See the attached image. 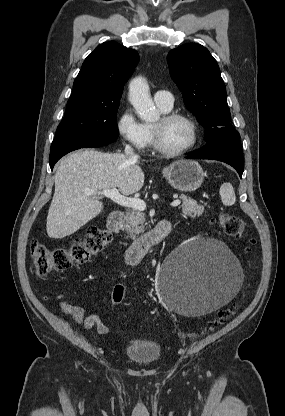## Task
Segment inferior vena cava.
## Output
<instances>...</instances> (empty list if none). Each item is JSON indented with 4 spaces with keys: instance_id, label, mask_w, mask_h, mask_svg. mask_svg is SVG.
<instances>
[{
    "instance_id": "602c4592",
    "label": "inferior vena cava",
    "mask_w": 285,
    "mask_h": 416,
    "mask_svg": "<svg viewBox=\"0 0 285 416\" xmlns=\"http://www.w3.org/2000/svg\"><path fill=\"white\" fill-rule=\"evenodd\" d=\"M124 154L125 156H128L129 162H133V164H135L139 158L137 154H134L133 148H131V146H125Z\"/></svg>"
}]
</instances>
